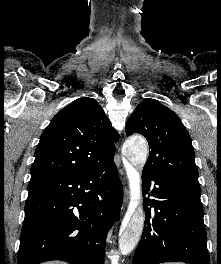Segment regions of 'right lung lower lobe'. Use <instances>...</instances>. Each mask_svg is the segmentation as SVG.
Instances as JSON below:
<instances>
[{
	"label": "right lung lower lobe",
	"instance_id": "right-lung-lower-lobe-1",
	"mask_svg": "<svg viewBox=\"0 0 221 264\" xmlns=\"http://www.w3.org/2000/svg\"><path fill=\"white\" fill-rule=\"evenodd\" d=\"M122 198L113 158L89 171L29 183L17 264H104Z\"/></svg>",
	"mask_w": 221,
	"mask_h": 264
}]
</instances>
